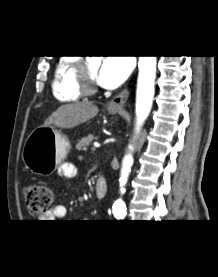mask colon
I'll use <instances>...</instances> for the list:
<instances>
[{
    "instance_id": "5ec220e1",
    "label": "colon",
    "mask_w": 218,
    "mask_h": 277,
    "mask_svg": "<svg viewBox=\"0 0 218 277\" xmlns=\"http://www.w3.org/2000/svg\"><path fill=\"white\" fill-rule=\"evenodd\" d=\"M52 201L53 192L46 185L33 184L25 189V204L31 215H44L50 208Z\"/></svg>"
}]
</instances>
